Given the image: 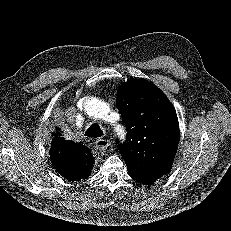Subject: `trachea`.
<instances>
[{
  "label": "trachea",
  "mask_w": 231,
  "mask_h": 231,
  "mask_svg": "<svg viewBox=\"0 0 231 231\" xmlns=\"http://www.w3.org/2000/svg\"><path fill=\"white\" fill-rule=\"evenodd\" d=\"M103 135V130L99 126L98 123H93L85 132V136L92 137V138H98Z\"/></svg>",
  "instance_id": "obj_1"
}]
</instances>
